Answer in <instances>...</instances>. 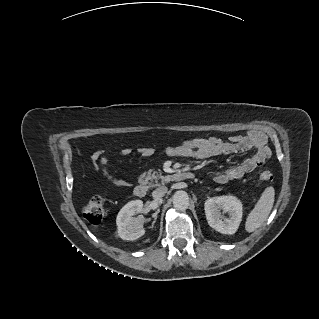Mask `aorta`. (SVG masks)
I'll return each instance as SVG.
<instances>
[{
	"mask_svg": "<svg viewBox=\"0 0 319 319\" xmlns=\"http://www.w3.org/2000/svg\"><path fill=\"white\" fill-rule=\"evenodd\" d=\"M173 206L179 211H185L189 206V196L183 190L176 191L173 195Z\"/></svg>",
	"mask_w": 319,
	"mask_h": 319,
	"instance_id": "obj_1",
	"label": "aorta"
}]
</instances>
